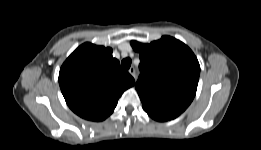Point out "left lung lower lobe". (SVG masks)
<instances>
[{"mask_svg":"<svg viewBox=\"0 0 261 150\" xmlns=\"http://www.w3.org/2000/svg\"><path fill=\"white\" fill-rule=\"evenodd\" d=\"M147 112V114L151 117V118H153V119H155V120H157V121H167V120H170L171 118H168V117H166V116H164V115H161V114H158V113H153V112H150V111H146Z\"/></svg>","mask_w":261,"mask_h":150,"instance_id":"0a47b994","label":"left lung lower lobe"}]
</instances>
